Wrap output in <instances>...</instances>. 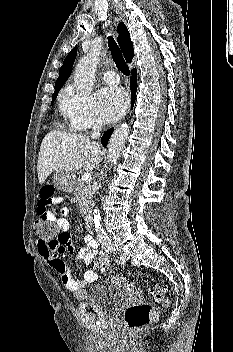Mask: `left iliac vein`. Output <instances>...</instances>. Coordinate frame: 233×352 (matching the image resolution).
Masks as SVG:
<instances>
[{"mask_svg": "<svg viewBox=\"0 0 233 352\" xmlns=\"http://www.w3.org/2000/svg\"><path fill=\"white\" fill-rule=\"evenodd\" d=\"M121 256L124 258V260H125V262L128 260V258H129V254H128V252H126V251H121Z\"/></svg>", "mask_w": 233, "mask_h": 352, "instance_id": "4c4485c4", "label": "left iliac vein"}]
</instances>
